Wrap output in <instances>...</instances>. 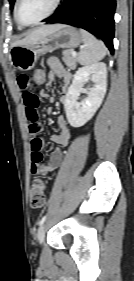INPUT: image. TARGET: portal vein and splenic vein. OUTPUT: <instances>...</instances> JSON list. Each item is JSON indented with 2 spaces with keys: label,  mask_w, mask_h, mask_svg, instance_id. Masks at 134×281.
<instances>
[{
  "label": "portal vein and splenic vein",
  "mask_w": 134,
  "mask_h": 281,
  "mask_svg": "<svg viewBox=\"0 0 134 281\" xmlns=\"http://www.w3.org/2000/svg\"><path fill=\"white\" fill-rule=\"evenodd\" d=\"M71 54H72L73 57H76V56H77V53H76L75 51H72Z\"/></svg>",
  "instance_id": "1"
}]
</instances>
